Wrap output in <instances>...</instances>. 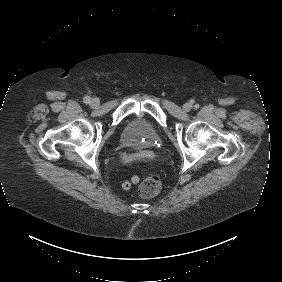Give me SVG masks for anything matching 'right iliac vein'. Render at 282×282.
<instances>
[{"mask_svg":"<svg viewBox=\"0 0 282 282\" xmlns=\"http://www.w3.org/2000/svg\"><path fill=\"white\" fill-rule=\"evenodd\" d=\"M90 105H91L92 107H97V106L99 105V102H98V100H96V99H92V100L90 101Z\"/></svg>","mask_w":282,"mask_h":282,"instance_id":"63e3f726","label":"right iliac vein"}]
</instances>
